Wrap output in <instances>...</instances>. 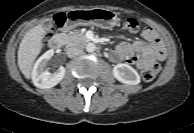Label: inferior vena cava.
I'll return each instance as SVG.
<instances>
[{"instance_id": "602c4592", "label": "inferior vena cava", "mask_w": 194, "mask_h": 133, "mask_svg": "<svg viewBox=\"0 0 194 133\" xmlns=\"http://www.w3.org/2000/svg\"><path fill=\"white\" fill-rule=\"evenodd\" d=\"M82 48L79 47H70L67 49L66 53L69 58H74L80 54H82Z\"/></svg>"}]
</instances>
